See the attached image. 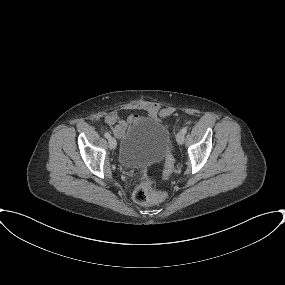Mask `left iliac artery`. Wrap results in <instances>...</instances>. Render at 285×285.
I'll return each instance as SVG.
<instances>
[{
  "mask_svg": "<svg viewBox=\"0 0 285 285\" xmlns=\"http://www.w3.org/2000/svg\"><path fill=\"white\" fill-rule=\"evenodd\" d=\"M181 131H182L184 134H186V132H187V127H184Z\"/></svg>",
  "mask_w": 285,
  "mask_h": 285,
  "instance_id": "1",
  "label": "left iliac artery"
}]
</instances>
